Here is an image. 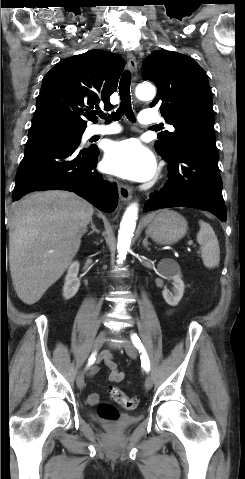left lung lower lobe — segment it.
Instances as JSON below:
<instances>
[{
  "label": "left lung lower lobe",
  "instance_id": "left-lung-lower-lobe-1",
  "mask_svg": "<svg viewBox=\"0 0 245 479\" xmlns=\"http://www.w3.org/2000/svg\"><path fill=\"white\" fill-rule=\"evenodd\" d=\"M164 159L169 163V180L159 192L150 195L144 211L190 207L209 211L221 221H226L216 145L191 143Z\"/></svg>",
  "mask_w": 245,
  "mask_h": 479
}]
</instances>
